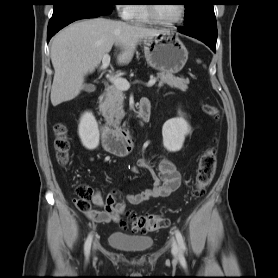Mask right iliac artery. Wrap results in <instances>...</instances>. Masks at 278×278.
I'll use <instances>...</instances> for the list:
<instances>
[{
  "mask_svg": "<svg viewBox=\"0 0 278 278\" xmlns=\"http://www.w3.org/2000/svg\"><path fill=\"white\" fill-rule=\"evenodd\" d=\"M92 234L90 233L85 241V244H84V253H85V256L88 258L89 254H90V248H91V243H92Z\"/></svg>",
  "mask_w": 278,
  "mask_h": 278,
  "instance_id": "right-iliac-artery-1",
  "label": "right iliac artery"
}]
</instances>
